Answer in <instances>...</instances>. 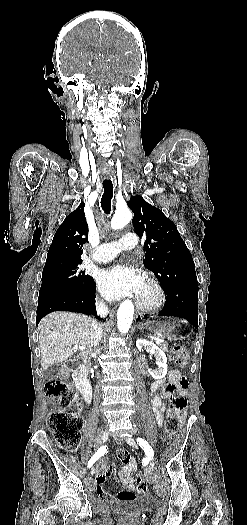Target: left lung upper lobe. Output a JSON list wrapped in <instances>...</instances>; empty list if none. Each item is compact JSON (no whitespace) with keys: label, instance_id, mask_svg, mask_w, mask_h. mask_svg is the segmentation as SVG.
<instances>
[{"label":"left lung upper lobe","instance_id":"left-lung-upper-lobe-1","mask_svg":"<svg viewBox=\"0 0 247 525\" xmlns=\"http://www.w3.org/2000/svg\"><path fill=\"white\" fill-rule=\"evenodd\" d=\"M134 213L135 233L146 237L144 265L151 270L166 292L198 289L195 264L176 225L142 196L127 202Z\"/></svg>","mask_w":247,"mask_h":525}]
</instances>
